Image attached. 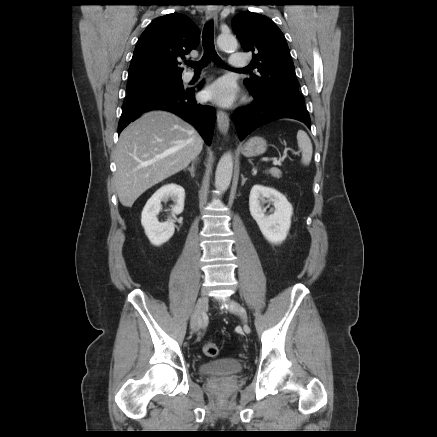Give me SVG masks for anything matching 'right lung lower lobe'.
I'll return each instance as SVG.
<instances>
[{
    "mask_svg": "<svg viewBox=\"0 0 437 437\" xmlns=\"http://www.w3.org/2000/svg\"><path fill=\"white\" fill-rule=\"evenodd\" d=\"M202 86V83L200 84ZM194 89L184 88L157 92L127 100L122 106V115L118 125V134L143 112L161 109L173 112L194 125L208 145L213 137L216 111L213 107L197 103Z\"/></svg>",
    "mask_w": 437,
    "mask_h": 437,
    "instance_id": "98d812e1",
    "label": "right lung lower lobe"
}]
</instances>
